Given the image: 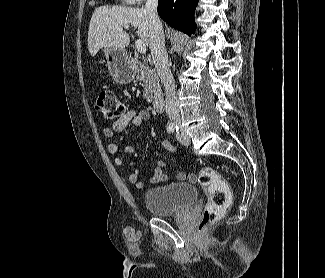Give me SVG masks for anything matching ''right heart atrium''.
<instances>
[{"mask_svg":"<svg viewBox=\"0 0 325 278\" xmlns=\"http://www.w3.org/2000/svg\"><path fill=\"white\" fill-rule=\"evenodd\" d=\"M128 3H131V4H139L141 3L143 0H126Z\"/></svg>","mask_w":325,"mask_h":278,"instance_id":"right-heart-atrium-1","label":"right heart atrium"}]
</instances>
